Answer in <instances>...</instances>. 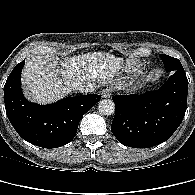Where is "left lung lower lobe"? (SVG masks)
<instances>
[{"mask_svg":"<svg viewBox=\"0 0 195 195\" xmlns=\"http://www.w3.org/2000/svg\"><path fill=\"white\" fill-rule=\"evenodd\" d=\"M188 80L184 70L172 75L158 90L116 95L111 131L122 144L148 148L168 140L181 124L187 108Z\"/></svg>","mask_w":195,"mask_h":195,"instance_id":"obj_1","label":"left lung lower lobe"}]
</instances>
